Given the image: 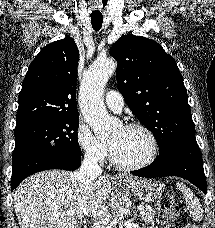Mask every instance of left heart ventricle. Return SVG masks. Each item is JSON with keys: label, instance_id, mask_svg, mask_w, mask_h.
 <instances>
[{"label": "left heart ventricle", "instance_id": "b2bd125f", "mask_svg": "<svg viewBox=\"0 0 215 228\" xmlns=\"http://www.w3.org/2000/svg\"><path fill=\"white\" fill-rule=\"evenodd\" d=\"M114 157L123 164H133L141 161L149 151V141L140 129H118L108 141Z\"/></svg>", "mask_w": 215, "mask_h": 228}]
</instances>
